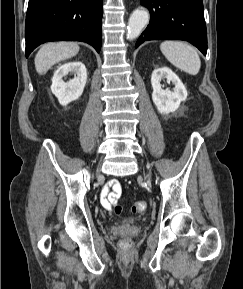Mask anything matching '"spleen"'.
Returning a JSON list of instances; mask_svg holds the SVG:
<instances>
[{
	"mask_svg": "<svg viewBox=\"0 0 243 289\" xmlns=\"http://www.w3.org/2000/svg\"><path fill=\"white\" fill-rule=\"evenodd\" d=\"M160 50L175 67L191 75L198 74L201 61L192 46L180 41H164L160 45Z\"/></svg>",
	"mask_w": 243,
	"mask_h": 289,
	"instance_id": "obj_1",
	"label": "spleen"
}]
</instances>
